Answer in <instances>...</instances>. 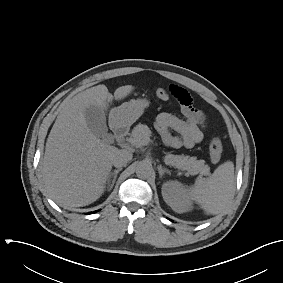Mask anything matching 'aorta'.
<instances>
[{"instance_id": "1", "label": "aorta", "mask_w": 283, "mask_h": 283, "mask_svg": "<svg viewBox=\"0 0 283 283\" xmlns=\"http://www.w3.org/2000/svg\"><path fill=\"white\" fill-rule=\"evenodd\" d=\"M152 167L149 163L141 161L137 164L136 174L140 178H147L151 175Z\"/></svg>"}]
</instances>
